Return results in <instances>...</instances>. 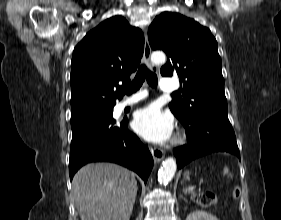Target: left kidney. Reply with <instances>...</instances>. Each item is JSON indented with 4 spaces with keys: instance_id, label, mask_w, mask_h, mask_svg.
I'll list each match as a JSON object with an SVG mask.
<instances>
[{
    "instance_id": "5707ae66",
    "label": "left kidney",
    "mask_w": 281,
    "mask_h": 220,
    "mask_svg": "<svg viewBox=\"0 0 281 220\" xmlns=\"http://www.w3.org/2000/svg\"><path fill=\"white\" fill-rule=\"evenodd\" d=\"M186 220H219V219L205 211L199 210L189 214Z\"/></svg>"
}]
</instances>
